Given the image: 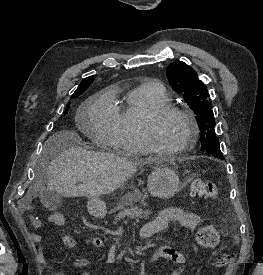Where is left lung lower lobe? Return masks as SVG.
Listing matches in <instances>:
<instances>
[{"instance_id": "obj_1", "label": "left lung lower lobe", "mask_w": 263, "mask_h": 275, "mask_svg": "<svg viewBox=\"0 0 263 275\" xmlns=\"http://www.w3.org/2000/svg\"><path fill=\"white\" fill-rule=\"evenodd\" d=\"M216 157V156H215ZM216 158H218V159H224V157L223 156H218V157H216Z\"/></svg>"}]
</instances>
